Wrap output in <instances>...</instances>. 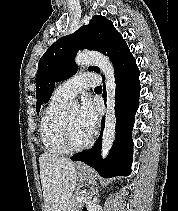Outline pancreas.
Masks as SVG:
<instances>
[{
  "label": "pancreas",
  "mask_w": 178,
  "mask_h": 211,
  "mask_svg": "<svg viewBox=\"0 0 178 211\" xmlns=\"http://www.w3.org/2000/svg\"><path fill=\"white\" fill-rule=\"evenodd\" d=\"M85 194L81 192H76L73 198L70 200L68 211H80L82 207V202H78V199L84 197Z\"/></svg>",
  "instance_id": "cf45deb5"
}]
</instances>
